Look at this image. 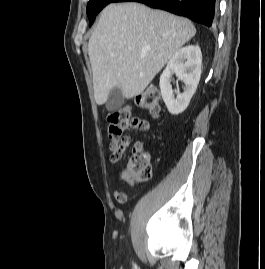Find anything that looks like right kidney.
<instances>
[{
    "instance_id": "ca27d5eb",
    "label": "right kidney",
    "mask_w": 265,
    "mask_h": 269,
    "mask_svg": "<svg viewBox=\"0 0 265 269\" xmlns=\"http://www.w3.org/2000/svg\"><path fill=\"white\" fill-rule=\"evenodd\" d=\"M202 53L198 45H188L179 49L168 62L160 77L162 99L172 115L182 113L194 95L201 77ZM176 75L184 84V91L180 93L171 85L172 75Z\"/></svg>"
}]
</instances>
